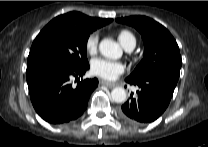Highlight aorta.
I'll return each mask as SVG.
<instances>
[{
	"label": "aorta",
	"mask_w": 208,
	"mask_h": 147,
	"mask_svg": "<svg viewBox=\"0 0 208 147\" xmlns=\"http://www.w3.org/2000/svg\"><path fill=\"white\" fill-rule=\"evenodd\" d=\"M100 53L110 59H119L122 56V49L112 39H103L99 44ZM111 98L116 103L126 100V91L122 87H116L111 91Z\"/></svg>",
	"instance_id": "762f6f07"
}]
</instances>
